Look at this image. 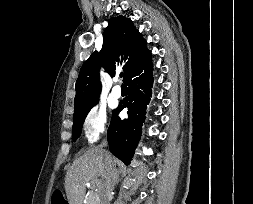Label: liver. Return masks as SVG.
Masks as SVG:
<instances>
[{"label":"liver","mask_w":253,"mask_h":204,"mask_svg":"<svg viewBox=\"0 0 253 204\" xmlns=\"http://www.w3.org/2000/svg\"><path fill=\"white\" fill-rule=\"evenodd\" d=\"M108 155L113 161L112 156L109 153ZM105 171V154L98 147L87 150L76 159L65 177V191L69 204H82L87 182L97 180L100 177L99 182L102 183Z\"/></svg>","instance_id":"1"}]
</instances>
